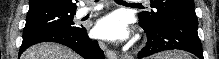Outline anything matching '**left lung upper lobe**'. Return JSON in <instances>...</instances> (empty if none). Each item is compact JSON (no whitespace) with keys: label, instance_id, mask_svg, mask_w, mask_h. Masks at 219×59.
Instances as JSON below:
<instances>
[{"label":"left lung upper lobe","instance_id":"1","mask_svg":"<svg viewBox=\"0 0 219 59\" xmlns=\"http://www.w3.org/2000/svg\"><path fill=\"white\" fill-rule=\"evenodd\" d=\"M151 7L156 11L148 14L141 12L139 23L157 27L168 23L189 11H194V0H150Z\"/></svg>","mask_w":219,"mask_h":59}]
</instances>
